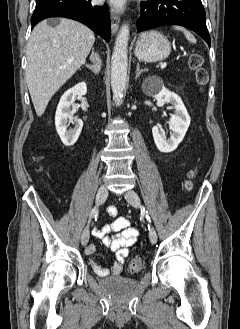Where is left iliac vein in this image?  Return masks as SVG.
Instances as JSON below:
<instances>
[{"mask_svg":"<svg viewBox=\"0 0 240 329\" xmlns=\"http://www.w3.org/2000/svg\"><path fill=\"white\" fill-rule=\"evenodd\" d=\"M124 197L131 206L136 207V208L140 206V199L135 191L128 190L124 194ZM149 240L152 244H155L157 242V233L154 230V228H152V227L149 230Z\"/></svg>","mask_w":240,"mask_h":329,"instance_id":"obj_1","label":"left iliac vein"}]
</instances>
